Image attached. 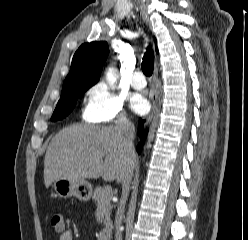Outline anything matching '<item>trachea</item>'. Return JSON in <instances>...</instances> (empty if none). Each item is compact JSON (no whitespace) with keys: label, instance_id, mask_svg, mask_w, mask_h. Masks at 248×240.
<instances>
[{"label":"trachea","instance_id":"trachea-1","mask_svg":"<svg viewBox=\"0 0 248 240\" xmlns=\"http://www.w3.org/2000/svg\"><path fill=\"white\" fill-rule=\"evenodd\" d=\"M154 70V52L151 47H148L142 61V71L143 73L150 77Z\"/></svg>","mask_w":248,"mask_h":240}]
</instances>
